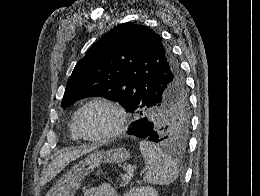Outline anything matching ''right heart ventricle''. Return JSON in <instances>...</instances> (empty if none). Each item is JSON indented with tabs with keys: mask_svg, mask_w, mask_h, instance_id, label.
<instances>
[{
	"mask_svg": "<svg viewBox=\"0 0 260 196\" xmlns=\"http://www.w3.org/2000/svg\"><path fill=\"white\" fill-rule=\"evenodd\" d=\"M70 135H71V138H72L74 141H77V140L81 139L80 136H79V134H78V132L76 131V129H75L74 125H73V122H72V124L70 125Z\"/></svg>",
	"mask_w": 260,
	"mask_h": 196,
	"instance_id": "1",
	"label": "right heart ventricle"
}]
</instances>
